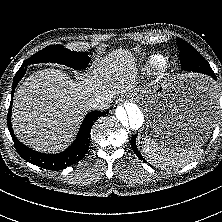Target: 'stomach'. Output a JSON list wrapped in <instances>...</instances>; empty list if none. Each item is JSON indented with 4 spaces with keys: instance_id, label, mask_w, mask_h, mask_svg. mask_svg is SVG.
Returning <instances> with one entry per match:
<instances>
[{
    "instance_id": "stomach-1",
    "label": "stomach",
    "mask_w": 222,
    "mask_h": 222,
    "mask_svg": "<svg viewBox=\"0 0 222 222\" xmlns=\"http://www.w3.org/2000/svg\"><path fill=\"white\" fill-rule=\"evenodd\" d=\"M144 104L147 138L171 148L203 146L217 119L215 88L211 80L195 74L164 80Z\"/></svg>"
}]
</instances>
